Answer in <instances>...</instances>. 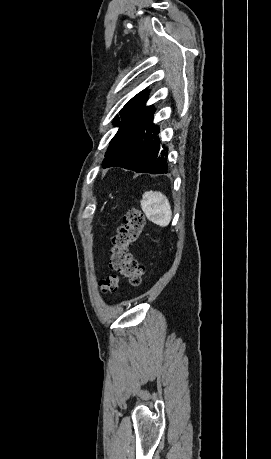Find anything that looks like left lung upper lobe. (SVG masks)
<instances>
[{
  "mask_svg": "<svg viewBox=\"0 0 271 459\" xmlns=\"http://www.w3.org/2000/svg\"><path fill=\"white\" fill-rule=\"evenodd\" d=\"M147 92L142 91L134 96L119 112L120 117L116 116L113 124L117 126L121 121L129 118L142 117L151 111L152 107H145ZM108 152V151H107Z\"/></svg>",
  "mask_w": 271,
  "mask_h": 459,
  "instance_id": "left-lung-upper-lobe-1",
  "label": "left lung upper lobe"
}]
</instances>
